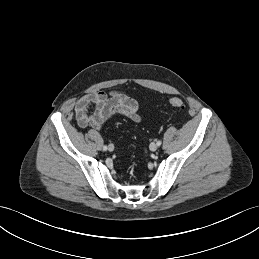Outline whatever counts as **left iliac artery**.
<instances>
[{
  "label": "left iliac artery",
  "instance_id": "1",
  "mask_svg": "<svg viewBox=\"0 0 259 259\" xmlns=\"http://www.w3.org/2000/svg\"><path fill=\"white\" fill-rule=\"evenodd\" d=\"M161 143H162L161 140H158V141H157V145H158V146H160Z\"/></svg>",
  "mask_w": 259,
  "mask_h": 259
}]
</instances>
